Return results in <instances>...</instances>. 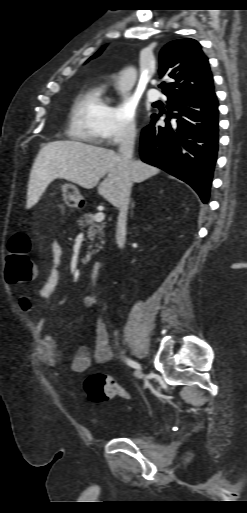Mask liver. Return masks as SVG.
<instances>
[{
    "mask_svg": "<svg viewBox=\"0 0 247 513\" xmlns=\"http://www.w3.org/2000/svg\"><path fill=\"white\" fill-rule=\"evenodd\" d=\"M160 170L134 161V170L128 173L119 154L113 150L77 141H54L39 151L30 174L27 208L38 201L48 184L57 178L71 181L83 188H94L100 179L98 193L112 203L117 199L120 186L142 182Z\"/></svg>",
    "mask_w": 247,
    "mask_h": 513,
    "instance_id": "liver-1",
    "label": "liver"
}]
</instances>
